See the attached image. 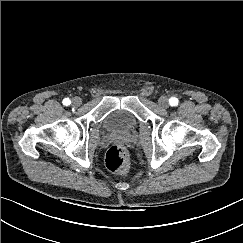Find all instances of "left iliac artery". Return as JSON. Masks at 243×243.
Here are the masks:
<instances>
[{
    "mask_svg": "<svg viewBox=\"0 0 243 243\" xmlns=\"http://www.w3.org/2000/svg\"><path fill=\"white\" fill-rule=\"evenodd\" d=\"M178 99L177 98H175V97H171L170 99H169V103H170V105L171 106H176V105H178Z\"/></svg>",
    "mask_w": 243,
    "mask_h": 243,
    "instance_id": "44dca946",
    "label": "left iliac artery"
}]
</instances>
